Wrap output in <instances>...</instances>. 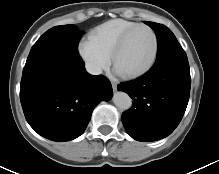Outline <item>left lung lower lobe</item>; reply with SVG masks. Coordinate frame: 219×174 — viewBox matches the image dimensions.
Here are the masks:
<instances>
[{"instance_id":"obj_1","label":"left lung lower lobe","mask_w":219,"mask_h":174,"mask_svg":"<svg viewBox=\"0 0 219 174\" xmlns=\"http://www.w3.org/2000/svg\"><path fill=\"white\" fill-rule=\"evenodd\" d=\"M190 85L187 56L166 58L144 76L120 83L118 90L133 99L131 109L122 114L127 133L145 142L170 135L184 115Z\"/></svg>"}]
</instances>
